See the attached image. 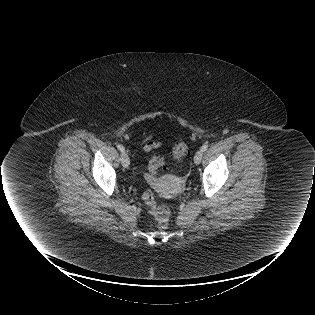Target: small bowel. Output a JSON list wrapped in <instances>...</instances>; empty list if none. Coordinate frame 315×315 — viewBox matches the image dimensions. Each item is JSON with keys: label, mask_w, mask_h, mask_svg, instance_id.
I'll list each match as a JSON object with an SVG mask.
<instances>
[{"label": "small bowel", "mask_w": 315, "mask_h": 315, "mask_svg": "<svg viewBox=\"0 0 315 315\" xmlns=\"http://www.w3.org/2000/svg\"><path fill=\"white\" fill-rule=\"evenodd\" d=\"M141 144H142L143 150L145 152H150V151L157 149V148L162 146V142L154 140L152 134L146 135L141 140Z\"/></svg>", "instance_id": "obj_1"}]
</instances>
